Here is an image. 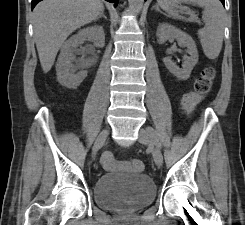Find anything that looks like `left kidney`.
I'll return each instance as SVG.
<instances>
[{"label": "left kidney", "mask_w": 245, "mask_h": 225, "mask_svg": "<svg viewBox=\"0 0 245 225\" xmlns=\"http://www.w3.org/2000/svg\"><path fill=\"white\" fill-rule=\"evenodd\" d=\"M156 35L160 44L174 38L180 46L187 48V55L184 57L182 68H179L170 57L163 59L165 66L174 76L180 80H187L198 62V51L195 41L187 33L167 23L158 26Z\"/></svg>", "instance_id": "1"}]
</instances>
